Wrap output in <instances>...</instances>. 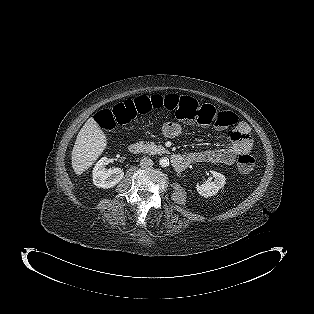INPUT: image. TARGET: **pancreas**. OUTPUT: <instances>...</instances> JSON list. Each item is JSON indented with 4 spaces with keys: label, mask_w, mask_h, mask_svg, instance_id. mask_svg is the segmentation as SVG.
I'll return each mask as SVG.
<instances>
[{
    "label": "pancreas",
    "mask_w": 314,
    "mask_h": 314,
    "mask_svg": "<svg viewBox=\"0 0 314 314\" xmlns=\"http://www.w3.org/2000/svg\"><path fill=\"white\" fill-rule=\"evenodd\" d=\"M143 149V151L149 155L163 154L167 152L163 146L156 145L154 142L146 143Z\"/></svg>",
    "instance_id": "obj_1"
}]
</instances>
